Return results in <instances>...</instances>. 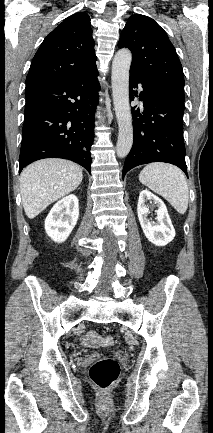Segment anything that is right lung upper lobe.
I'll return each mask as SVG.
<instances>
[{"label": "right lung upper lobe", "instance_id": "right-lung-upper-lobe-1", "mask_svg": "<svg viewBox=\"0 0 213 433\" xmlns=\"http://www.w3.org/2000/svg\"><path fill=\"white\" fill-rule=\"evenodd\" d=\"M95 42L90 17L75 13L59 24L37 50L26 84H49L73 80L96 68Z\"/></svg>", "mask_w": 213, "mask_h": 433}]
</instances>
